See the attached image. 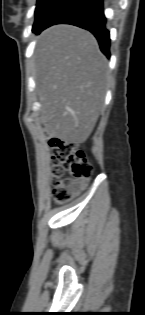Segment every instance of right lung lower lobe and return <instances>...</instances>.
I'll list each match as a JSON object with an SVG mask.
<instances>
[{
  "instance_id": "98d812e1",
  "label": "right lung lower lobe",
  "mask_w": 145,
  "mask_h": 315,
  "mask_svg": "<svg viewBox=\"0 0 145 315\" xmlns=\"http://www.w3.org/2000/svg\"><path fill=\"white\" fill-rule=\"evenodd\" d=\"M72 24L89 30L97 38L101 51L110 57V34L105 27L103 0H66L38 31L55 24Z\"/></svg>"
}]
</instances>
